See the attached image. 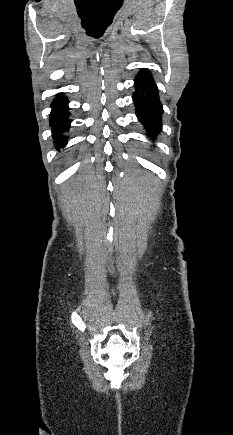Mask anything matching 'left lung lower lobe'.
<instances>
[{
    "label": "left lung lower lobe",
    "mask_w": 233,
    "mask_h": 435,
    "mask_svg": "<svg viewBox=\"0 0 233 435\" xmlns=\"http://www.w3.org/2000/svg\"><path fill=\"white\" fill-rule=\"evenodd\" d=\"M152 74L147 69L139 71L136 79V91L133 95L138 120L148 132V136L154 137L161 130V115L163 112L159 100V91L155 85Z\"/></svg>",
    "instance_id": "0a47b994"
}]
</instances>
